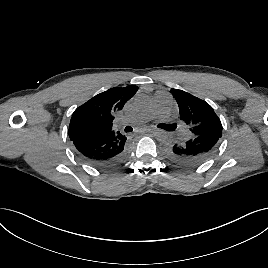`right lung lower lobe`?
Wrapping results in <instances>:
<instances>
[{
  "label": "right lung lower lobe",
  "mask_w": 268,
  "mask_h": 268,
  "mask_svg": "<svg viewBox=\"0 0 268 268\" xmlns=\"http://www.w3.org/2000/svg\"><path fill=\"white\" fill-rule=\"evenodd\" d=\"M126 137L119 132L103 136L72 140L76 153L87 163L98 168H109L121 160Z\"/></svg>",
  "instance_id": "98d812e1"
}]
</instances>
